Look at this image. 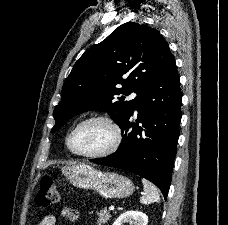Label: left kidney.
Segmentation results:
<instances>
[{"label":"left kidney","mask_w":228,"mask_h":225,"mask_svg":"<svg viewBox=\"0 0 228 225\" xmlns=\"http://www.w3.org/2000/svg\"><path fill=\"white\" fill-rule=\"evenodd\" d=\"M123 223H130V225H147L148 217L145 213H140V211H126L122 213L113 225H123Z\"/></svg>","instance_id":"left-kidney-1"}]
</instances>
